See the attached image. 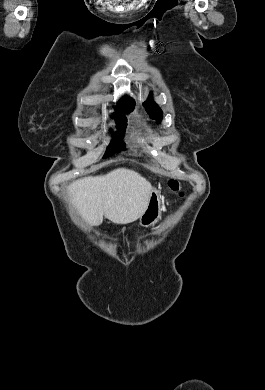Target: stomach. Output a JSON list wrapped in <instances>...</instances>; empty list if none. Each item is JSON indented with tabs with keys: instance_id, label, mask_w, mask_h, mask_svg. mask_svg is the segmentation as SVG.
I'll use <instances>...</instances> for the list:
<instances>
[{
	"instance_id": "1",
	"label": "stomach",
	"mask_w": 265,
	"mask_h": 390,
	"mask_svg": "<svg viewBox=\"0 0 265 390\" xmlns=\"http://www.w3.org/2000/svg\"><path fill=\"white\" fill-rule=\"evenodd\" d=\"M161 197L157 189H153L145 212L140 217V225L149 227L154 225L161 215Z\"/></svg>"
}]
</instances>
